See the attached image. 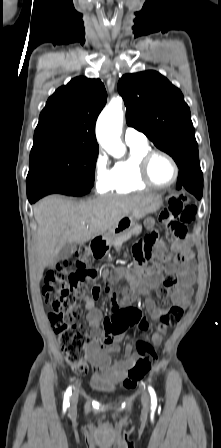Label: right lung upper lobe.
Returning a JSON list of instances; mask_svg holds the SVG:
<instances>
[{"instance_id":"1","label":"right lung upper lobe","mask_w":221,"mask_h":448,"mask_svg":"<svg viewBox=\"0 0 221 448\" xmlns=\"http://www.w3.org/2000/svg\"><path fill=\"white\" fill-rule=\"evenodd\" d=\"M107 99L99 79L76 77L58 88L42 110L33 147L57 143L98 146L95 123Z\"/></svg>"}]
</instances>
